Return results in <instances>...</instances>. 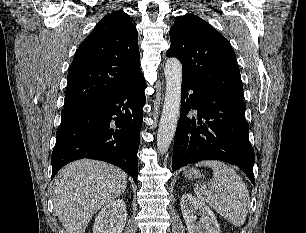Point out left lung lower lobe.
Listing matches in <instances>:
<instances>
[{"mask_svg": "<svg viewBox=\"0 0 306 233\" xmlns=\"http://www.w3.org/2000/svg\"><path fill=\"white\" fill-rule=\"evenodd\" d=\"M188 89L193 90L189 98ZM191 109L198 112V127L195 126V119L187 118ZM248 132L242 95L204 89L182 79V103L174 139L173 170L200 160H221L238 166L255 185V156Z\"/></svg>", "mask_w": 306, "mask_h": 233, "instance_id": "1", "label": "left lung lower lobe"}]
</instances>
